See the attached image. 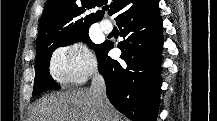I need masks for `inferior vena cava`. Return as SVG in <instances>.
<instances>
[{
	"instance_id": "602c4592",
	"label": "inferior vena cava",
	"mask_w": 217,
	"mask_h": 121,
	"mask_svg": "<svg viewBox=\"0 0 217 121\" xmlns=\"http://www.w3.org/2000/svg\"><path fill=\"white\" fill-rule=\"evenodd\" d=\"M90 92L94 96L96 104L103 109L105 116L104 120L110 121V114L106 109L108 99L106 95L105 81L104 78L98 72H96L93 75Z\"/></svg>"
}]
</instances>
